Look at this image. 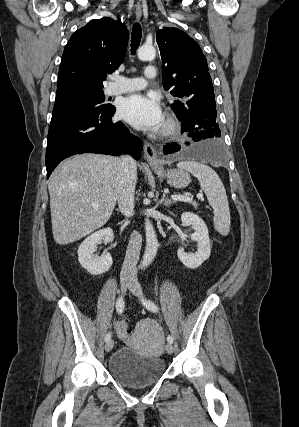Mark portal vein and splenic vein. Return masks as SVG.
I'll use <instances>...</instances> for the list:
<instances>
[{
    "label": "portal vein and splenic vein",
    "instance_id": "obj_1",
    "mask_svg": "<svg viewBox=\"0 0 299 427\" xmlns=\"http://www.w3.org/2000/svg\"><path fill=\"white\" fill-rule=\"evenodd\" d=\"M171 198L173 200L183 201V202H192L193 201V197H190L187 195H185V196H183V195H172ZM197 198L202 199L203 198L202 194H198Z\"/></svg>",
    "mask_w": 299,
    "mask_h": 427
}]
</instances>
